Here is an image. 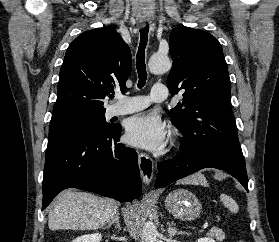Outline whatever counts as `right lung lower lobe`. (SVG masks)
<instances>
[{
	"label": "right lung lower lobe",
	"instance_id": "obj_1",
	"mask_svg": "<svg viewBox=\"0 0 279 242\" xmlns=\"http://www.w3.org/2000/svg\"><path fill=\"white\" fill-rule=\"evenodd\" d=\"M121 126L96 136H79L47 147L43 175L44 210L66 188L128 202L141 196L138 157L119 143Z\"/></svg>",
	"mask_w": 279,
	"mask_h": 242
}]
</instances>
